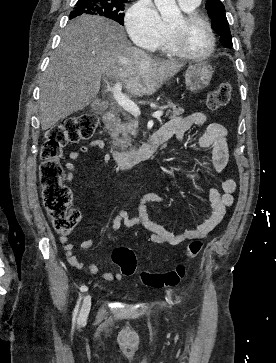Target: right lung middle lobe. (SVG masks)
<instances>
[{"label":"right lung middle lobe","mask_w":276,"mask_h":363,"mask_svg":"<svg viewBox=\"0 0 276 363\" xmlns=\"http://www.w3.org/2000/svg\"><path fill=\"white\" fill-rule=\"evenodd\" d=\"M117 0H78L75 9L69 18L72 19L82 14L103 16L123 25L125 3Z\"/></svg>","instance_id":"right-lung-middle-lobe-1"}]
</instances>
